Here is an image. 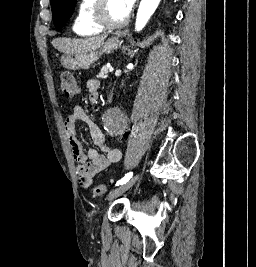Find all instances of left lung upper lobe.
Instances as JSON below:
<instances>
[{"label":"left lung upper lobe","mask_w":256,"mask_h":267,"mask_svg":"<svg viewBox=\"0 0 256 267\" xmlns=\"http://www.w3.org/2000/svg\"><path fill=\"white\" fill-rule=\"evenodd\" d=\"M77 0H51L53 22L56 29L61 30L62 25L73 13Z\"/></svg>","instance_id":"5c2ea615"}]
</instances>
